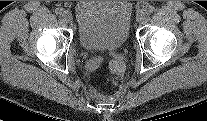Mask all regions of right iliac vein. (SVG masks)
<instances>
[{
	"mask_svg": "<svg viewBox=\"0 0 207 121\" xmlns=\"http://www.w3.org/2000/svg\"><path fill=\"white\" fill-rule=\"evenodd\" d=\"M63 18L67 23L72 22V14L69 11H64Z\"/></svg>",
	"mask_w": 207,
	"mask_h": 121,
	"instance_id": "63e3f726",
	"label": "right iliac vein"
}]
</instances>
